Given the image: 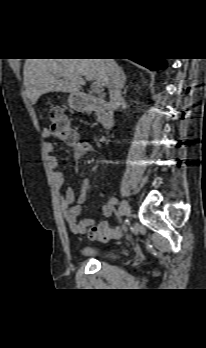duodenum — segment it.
I'll list each match as a JSON object with an SVG mask.
<instances>
[{
  "label": "duodenum",
  "instance_id": "410a0bca",
  "mask_svg": "<svg viewBox=\"0 0 206 348\" xmlns=\"http://www.w3.org/2000/svg\"><path fill=\"white\" fill-rule=\"evenodd\" d=\"M81 111H95L98 113L104 129H111L114 125V111L112 105L103 98L91 95H78Z\"/></svg>",
  "mask_w": 206,
  "mask_h": 348
}]
</instances>
